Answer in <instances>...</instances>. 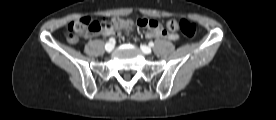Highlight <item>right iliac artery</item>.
Segmentation results:
<instances>
[{"instance_id":"right-iliac-artery-1","label":"right iliac artery","mask_w":276,"mask_h":120,"mask_svg":"<svg viewBox=\"0 0 276 120\" xmlns=\"http://www.w3.org/2000/svg\"><path fill=\"white\" fill-rule=\"evenodd\" d=\"M109 42H110V43H115V39H114V38H110V39H109Z\"/></svg>"}]
</instances>
